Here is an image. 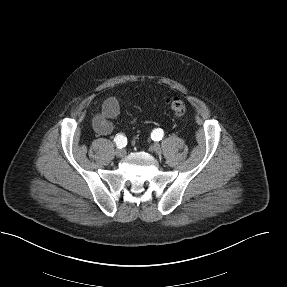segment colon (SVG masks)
Returning a JSON list of instances; mask_svg holds the SVG:
<instances>
[{"label": "colon", "mask_w": 287, "mask_h": 287, "mask_svg": "<svg viewBox=\"0 0 287 287\" xmlns=\"http://www.w3.org/2000/svg\"><path fill=\"white\" fill-rule=\"evenodd\" d=\"M166 106L177 116H182L186 112L184 101L177 96H168L164 99Z\"/></svg>", "instance_id": "obj_1"}]
</instances>
